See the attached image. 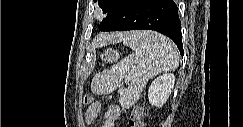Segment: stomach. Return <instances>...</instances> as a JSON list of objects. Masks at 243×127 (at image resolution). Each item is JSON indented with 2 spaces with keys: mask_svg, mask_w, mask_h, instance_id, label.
Listing matches in <instances>:
<instances>
[{
  "mask_svg": "<svg viewBox=\"0 0 243 127\" xmlns=\"http://www.w3.org/2000/svg\"><path fill=\"white\" fill-rule=\"evenodd\" d=\"M120 53L113 49H107L103 54V59L108 62H116L120 58Z\"/></svg>",
  "mask_w": 243,
  "mask_h": 127,
  "instance_id": "0dacf381",
  "label": "stomach"
}]
</instances>
